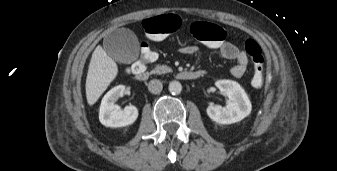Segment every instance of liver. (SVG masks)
Wrapping results in <instances>:
<instances>
[{"label":"liver","instance_id":"obj_1","mask_svg":"<svg viewBox=\"0 0 337 171\" xmlns=\"http://www.w3.org/2000/svg\"><path fill=\"white\" fill-rule=\"evenodd\" d=\"M118 66L98 45L92 53L86 78V98L89 105H93L116 78Z\"/></svg>","mask_w":337,"mask_h":171}]
</instances>
